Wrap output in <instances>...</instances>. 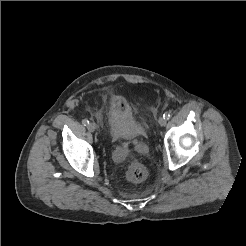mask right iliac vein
Here are the masks:
<instances>
[{"instance_id": "1", "label": "right iliac vein", "mask_w": 246, "mask_h": 246, "mask_svg": "<svg viewBox=\"0 0 246 246\" xmlns=\"http://www.w3.org/2000/svg\"><path fill=\"white\" fill-rule=\"evenodd\" d=\"M87 128L90 132H94L96 130L97 126L95 123H89Z\"/></svg>"}]
</instances>
